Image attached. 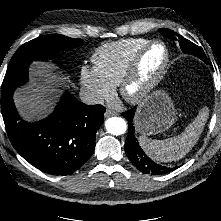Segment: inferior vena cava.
Masks as SVG:
<instances>
[{
  "label": "inferior vena cava",
  "instance_id": "obj_1",
  "mask_svg": "<svg viewBox=\"0 0 221 221\" xmlns=\"http://www.w3.org/2000/svg\"><path fill=\"white\" fill-rule=\"evenodd\" d=\"M80 99L87 105L103 104V98L92 90L83 89L80 91Z\"/></svg>",
  "mask_w": 221,
  "mask_h": 221
}]
</instances>
